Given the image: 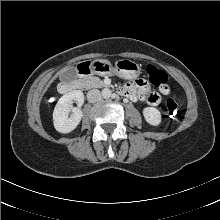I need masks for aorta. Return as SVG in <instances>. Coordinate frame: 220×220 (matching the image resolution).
<instances>
[{
	"label": "aorta",
	"instance_id": "aorta-1",
	"mask_svg": "<svg viewBox=\"0 0 220 220\" xmlns=\"http://www.w3.org/2000/svg\"><path fill=\"white\" fill-rule=\"evenodd\" d=\"M102 97L108 99L111 97L112 91L109 88H105L102 90Z\"/></svg>",
	"mask_w": 220,
	"mask_h": 220
}]
</instances>
